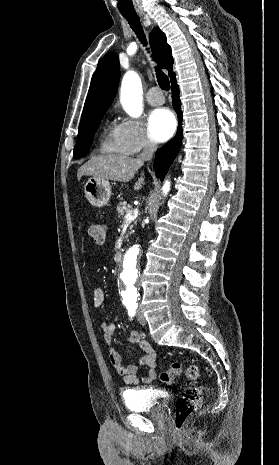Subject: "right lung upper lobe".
<instances>
[{
  "label": "right lung upper lobe",
  "mask_w": 279,
  "mask_h": 465,
  "mask_svg": "<svg viewBox=\"0 0 279 465\" xmlns=\"http://www.w3.org/2000/svg\"><path fill=\"white\" fill-rule=\"evenodd\" d=\"M149 41L158 65L169 71L168 75L173 82L175 79L174 61L165 34L156 27L151 31ZM119 77V58L115 52L111 51L99 61L92 76L79 127L86 125L99 113L109 108L116 94Z\"/></svg>",
  "instance_id": "obj_1"
}]
</instances>
